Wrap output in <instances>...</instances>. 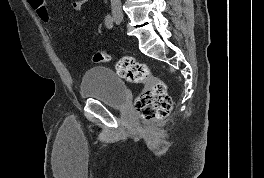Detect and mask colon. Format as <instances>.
<instances>
[{
  "label": "colon",
  "instance_id": "obj_1",
  "mask_svg": "<svg viewBox=\"0 0 264 178\" xmlns=\"http://www.w3.org/2000/svg\"><path fill=\"white\" fill-rule=\"evenodd\" d=\"M28 4L36 11L39 18L45 22H51V15L44 0H27ZM94 63H115L117 73L131 83H143L144 89L135 100V109L139 116L146 121H154L165 118L172 107V101L165 83L154 76L148 65L138 62L133 57H114L104 51L93 54Z\"/></svg>",
  "mask_w": 264,
  "mask_h": 178
}]
</instances>
